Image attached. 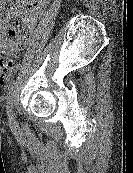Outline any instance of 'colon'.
I'll use <instances>...</instances> for the list:
<instances>
[{
	"label": "colon",
	"mask_w": 133,
	"mask_h": 173,
	"mask_svg": "<svg viewBox=\"0 0 133 173\" xmlns=\"http://www.w3.org/2000/svg\"><path fill=\"white\" fill-rule=\"evenodd\" d=\"M21 43V36L14 37L11 48L0 49V84H5L16 68V52Z\"/></svg>",
	"instance_id": "obj_1"
}]
</instances>
